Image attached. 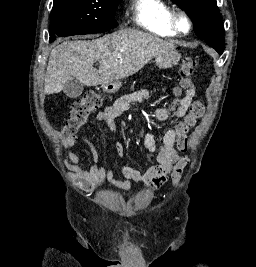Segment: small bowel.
I'll return each instance as SVG.
<instances>
[{
    "mask_svg": "<svg viewBox=\"0 0 256 267\" xmlns=\"http://www.w3.org/2000/svg\"><path fill=\"white\" fill-rule=\"evenodd\" d=\"M195 92L194 86L184 88V93L181 96L155 112L156 120L164 122L171 116L177 119L186 117ZM150 95L151 91L149 89H140L123 94L112 105L99 112L97 120L106 124L115 133L117 130V119L130 109L131 104L145 100ZM175 129H167L165 131L160 145L157 144L152 134L146 133L143 138L144 145L150 152L157 153L158 164L148 168L146 171H141L129 165H121L118 170L124 177V180H119L115 177L116 168L98 165L99 154L93 143L86 136L72 135L67 137L65 145L68 148L67 156L71 170L70 177L85 192H94L103 183H110L120 189H128L132 182L143 183L150 189L155 190L165 182L173 165L179 160V151H183L180 146V138L175 137ZM80 143L86 145L93 159V163L88 169L84 168L80 162V157L74 151V147ZM114 149L118 155H124L122 142L116 141Z\"/></svg>",
    "mask_w": 256,
    "mask_h": 267,
    "instance_id": "obj_1",
    "label": "small bowel"
}]
</instances>
